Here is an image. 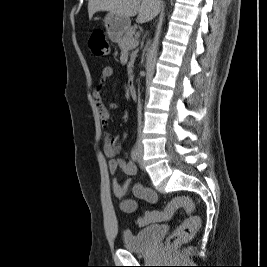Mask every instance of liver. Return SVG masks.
Listing matches in <instances>:
<instances>
[{"label":"liver","instance_id":"liver-1","mask_svg":"<svg viewBox=\"0 0 267 267\" xmlns=\"http://www.w3.org/2000/svg\"><path fill=\"white\" fill-rule=\"evenodd\" d=\"M160 0H88L89 19L98 11H108L123 17L137 15L138 23H146L160 11Z\"/></svg>","mask_w":267,"mask_h":267}]
</instances>
